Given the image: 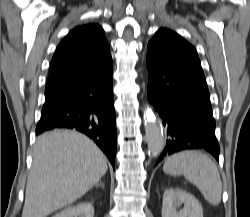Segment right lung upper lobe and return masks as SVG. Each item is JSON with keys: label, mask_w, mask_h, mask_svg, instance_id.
<instances>
[{"label": "right lung upper lobe", "mask_w": 250, "mask_h": 217, "mask_svg": "<svg viewBox=\"0 0 250 217\" xmlns=\"http://www.w3.org/2000/svg\"><path fill=\"white\" fill-rule=\"evenodd\" d=\"M110 63L112 57L103 29L95 23L78 26L54 53L45 93L85 80Z\"/></svg>", "instance_id": "right-lung-upper-lobe-1"}]
</instances>
